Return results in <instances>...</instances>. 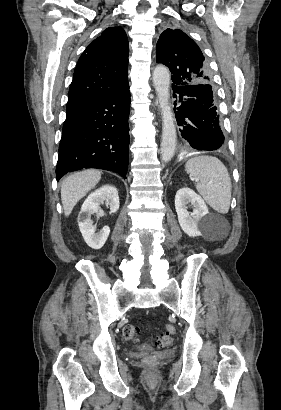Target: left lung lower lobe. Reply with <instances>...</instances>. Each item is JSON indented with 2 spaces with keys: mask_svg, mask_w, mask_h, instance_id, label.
<instances>
[{
  "mask_svg": "<svg viewBox=\"0 0 281 410\" xmlns=\"http://www.w3.org/2000/svg\"><path fill=\"white\" fill-rule=\"evenodd\" d=\"M176 97L175 116L181 136L196 150H217L224 145V135L209 84L172 85Z\"/></svg>",
  "mask_w": 281,
  "mask_h": 410,
  "instance_id": "1",
  "label": "left lung lower lobe"
}]
</instances>
